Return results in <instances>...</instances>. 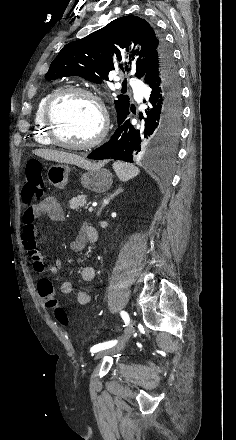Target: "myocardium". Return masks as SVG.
Here are the masks:
<instances>
[{"instance_id": "1", "label": "myocardium", "mask_w": 236, "mask_h": 440, "mask_svg": "<svg viewBox=\"0 0 236 440\" xmlns=\"http://www.w3.org/2000/svg\"><path fill=\"white\" fill-rule=\"evenodd\" d=\"M69 95H79L83 96L85 98L90 99L98 108L99 115H100V126L97 134L88 142L82 143V144H72L67 143L63 140H61L55 130V124L53 120V109L57 102ZM42 121L43 125L45 127L46 133L49 137V139L52 141L53 144L56 146L70 149V150H88L95 146H97L99 143L102 142V140L105 138L108 128H109V116L106 109V106L103 102V100L94 92L81 88V87H63L57 91H55L47 100L43 115H42Z\"/></svg>"}]
</instances>
